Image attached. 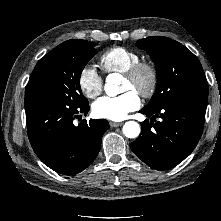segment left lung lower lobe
<instances>
[{
  "mask_svg": "<svg viewBox=\"0 0 221 221\" xmlns=\"http://www.w3.org/2000/svg\"><path fill=\"white\" fill-rule=\"evenodd\" d=\"M207 96L182 95L153 110L140 113L152 120L142 123L140 136L130 144L132 151L155 170H168L182 162L196 147L204 126ZM160 116L162 121L156 122Z\"/></svg>",
  "mask_w": 221,
  "mask_h": 221,
  "instance_id": "obj_1",
  "label": "left lung lower lobe"
}]
</instances>
